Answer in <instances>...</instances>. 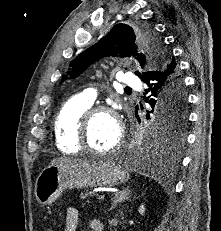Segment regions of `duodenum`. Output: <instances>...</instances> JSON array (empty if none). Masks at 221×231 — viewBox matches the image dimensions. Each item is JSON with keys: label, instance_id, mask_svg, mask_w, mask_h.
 Listing matches in <instances>:
<instances>
[{"label": "duodenum", "instance_id": "obj_1", "mask_svg": "<svg viewBox=\"0 0 221 231\" xmlns=\"http://www.w3.org/2000/svg\"><path fill=\"white\" fill-rule=\"evenodd\" d=\"M93 231H100V230H99V228H96V227H95Z\"/></svg>", "mask_w": 221, "mask_h": 231}]
</instances>
